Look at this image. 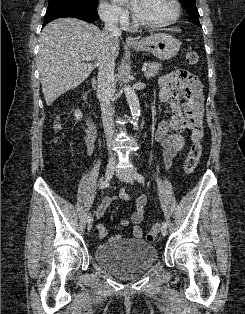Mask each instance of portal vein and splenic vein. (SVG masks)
Masks as SVG:
<instances>
[{
  "instance_id": "1",
  "label": "portal vein and splenic vein",
  "mask_w": 245,
  "mask_h": 314,
  "mask_svg": "<svg viewBox=\"0 0 245 314\" xmlns=\"http://www.w3.org/2000/svg\"><path fill=\"white\" fill-rule=\"evenodd\" d=\"M83 58L86 60V61H92L93 59L89 56H83ZM147 70V67L146 66H143L142 67V72H145Z\"/></svg>"
}]
</instances>
